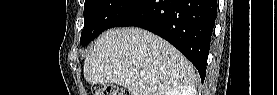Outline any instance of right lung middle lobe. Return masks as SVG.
<instances>
[{
  "label": "right lung middle lobe",
  "mask_w": 277,
  "mask_h": 95,
  "mask_svg": "<svg viewBox=\"0 0 277 95\" xmlns=\"http://www.w3.org/2000/svg\"><path fill=\"white\" fill-rule=\"evenodd\" d=\"M143 0H85L84 29L80 43L86 46L104 30L115 27Z\"/></svg>",
  "instance_id": "right-lung-middle-lobe-1"
}]
</instances>
